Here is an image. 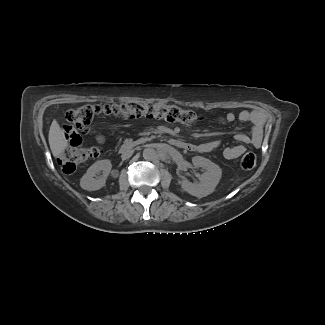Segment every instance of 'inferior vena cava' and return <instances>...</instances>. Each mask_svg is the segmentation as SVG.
<instances>
[{"label": "inferior vena cava", "mask_w": 325, "mask_h": 325, "mask_svg": "<svg viewBox=\"0 0 325 325\" xmlns=\"http://www.w3.org/2000/svg\"><path fill=\"white\" fill-rule=\"evenodd\" d=\"M131 155H132L131 151L123 153L122 154V159H128L129 157H131Z\"/></svg>", "instance_id": "inferior-vena-cava-1"}]
</instances>
